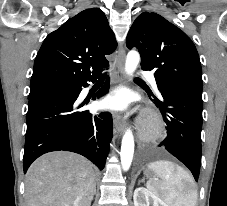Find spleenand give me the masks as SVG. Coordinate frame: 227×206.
Masks as SVG:
<instances>
[{
  "label": "spleen",
  "mask_w": 227,
  "mask_h": 206,
  "mask_svg": "<svg viewBox=\"0 0 227 206\" xmlns=\"http://www.w3.org/2000/svg\"><path fill=\"white\" fill-rule=\"evenodd\" d=\"M156 177L147 181V188L161 197L168 206H196L197 191L191 176L170 161H155L148 165ZM160 178V180H159Z\"/></svg>",
  "instance_id": "3e777b00"
}]
</instances>
